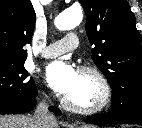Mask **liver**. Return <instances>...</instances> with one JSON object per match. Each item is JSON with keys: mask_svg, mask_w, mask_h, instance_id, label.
I'll use <instances>...</instances> for the list:
<instances>
[{"mask_svg": "<svg viewBox=\"0 0 142 128\" xmlns=\"http://www.w3.org/2000/svg\"><path fill=\"white\" fill-rule=\"evenodd\" d=\"M0 128H36V123L33 115H0Z\"/></svg>", "mask_w": 142, "mask_h": 128, "instance_id": "1", "label": "liver"}]
</instances>
